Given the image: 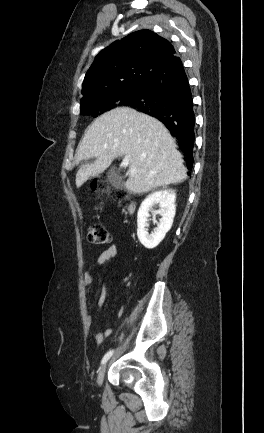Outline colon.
<instances>
[{
  "mask_svg": "<svg viewBox=\"0 0 264 433\" xmlns=\"http://www.w3.org/2000/svg\"><path fill=\"white\" fill-rule=\"evenodd\" d=\"M92 187L96 191L102 193L105 192L103 186L98 182H94ZM114 196L117 199L124 200L127 198L128 195L127 192L124 190H116L114 192ZM87 239L91 244L94 245H106L111 242L112 236L110 231L106 227L99 224H94L89 227Z\"/></svg>",
  "mask_w": 264,
  "mask_h": 433,
  "instance_id": "5ec220e1",
  "label": "colon"
}]
</instances>
